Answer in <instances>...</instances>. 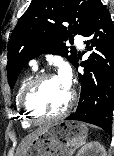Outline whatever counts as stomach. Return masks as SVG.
I'll list each match as a JSON object with an SVG mask.
<instances>
[{
    "label": "stomach",
    "instance_id": "0dacf381",
    "mask_svg": "<svg viewBox=\"0 0 114 156\" xmlns=\"http://www.w3.org/2000/svg\"><path fill=\"white\" fill-rule=\"evenodd\" d=\"M87 134L81 122L50 124L31 142L24 156H71L85 143Z\"/></svg>",
    "mask_w": 114,
    "mask_h": 156
}]
</instances>
